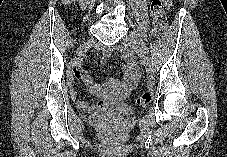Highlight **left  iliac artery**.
<instances>
[{
	"mask_svg": "<svg viewBox=\"0 0 227 157\" xmlns=\"http://www.w3.org/2000/svg\"><path fill=\"white\" fill-rule=\"evenodd\" d=\"M136 38H137V40L139 41V44H141V50H142L144 53H148V52H149V49H148V47L145 45L144 39H142L141 35H140V34H137V35H136Z\"/></svg>",
	"mask_w": 227,
	"mask_h": 157,
	"instance_id": "obj_1",
	"label": "left iliac artery"
}]
</instances>
